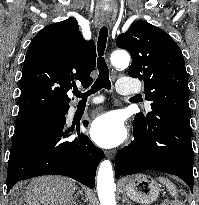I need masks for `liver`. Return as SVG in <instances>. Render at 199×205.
<instances>
[{
  "instance_id": "obj_1",
  "label": "liver",
  "mask_w": 199,
  "mask_h": 205,
  "mask_svg": "<svg viewBox=\"0 0 199 205\" xmlns=\"http://www.w3.org/2000/svg\"><path fill=\"white\" fill-rule=\"evenodd\" d=\"M76 185L61 176H42L31 180L23 195L26 205H71Z\"/></svg>"
}]
</instances>
